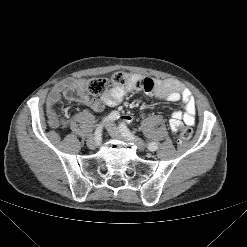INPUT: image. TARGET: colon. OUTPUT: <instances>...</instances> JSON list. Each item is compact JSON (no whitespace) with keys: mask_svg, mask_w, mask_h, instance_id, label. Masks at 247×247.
Instances as JSON below:
<instances>
[{"mask_svg":"<svg viewBox=\"0 0 247 247\" xmlns=\"http://www.w3.org/2000/svg\"><path fill=\"white\" fill-rule=\"evenodd\" d=\"M113 84L121 87H128L137 85L139 82L130 74L125 72H117L112 75L111 79ZM107 87V80L104 78H92L83 81L80 87H72L66 90L65 96L77 101L85 92L98 96L101 95ZM192 136V130L189 127H182L177 133L178 141H188Z\"/></svg>","mask_w":247,"mask_h":247,"instance_id":"1","label":"colon"}]
</instances>
